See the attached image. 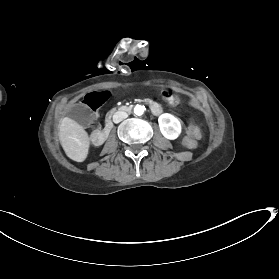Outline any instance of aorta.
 Here are the masks:
<instances>
[{"mask_svg":"<svg viewBox=\"0 0 279 279\" xmlns=\"http://www.w3.org/2000/svg\"><path fill=\"white\" fill-rule=\"evenodd\" d=\"M145 107L142 105H136L134 108V113L138 116L142 115L144 113Z\"/></svg>","mask_w":279,"mask_h":279,"instance_id":"obj_1","label":"aorta"}]
</instances>
